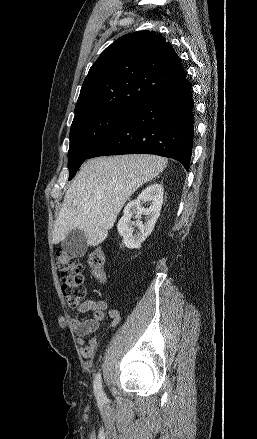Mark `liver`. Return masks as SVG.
<instances>
[{
	"label": "liver",
	"instance_id": "obj_1",
	"mask_svg": "<svg viewBox=\"0 0 257 439\" xmlns=\"http://www.w3.org/2000/svg\"><path fill=\"white\" fill-rule=\"evenodd\" d=\"M166 165L167 159L149 154L86 161L64 196L54 224L53 243L63 241L74 229L84 232L88 246L102 243L130 196Z\"/></svg>",
	"mask_w": 257,
	"mask_h": 439
}]
</instances>
